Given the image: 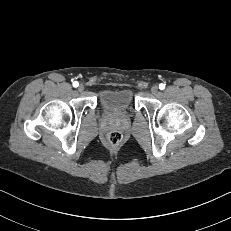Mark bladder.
Returning <instances> with one entry per match:
<instances>
[{
	"label": "bladder",
	"mask_w": 231,
	"mask_h": 231,
	"mask_svg": "<svg viewBox=\"0 0 231 231\" xmlns=\"http://www.w3.org/2000/svg\"><path fill=\"white\" fill-rule=\"evenodd\" d=\"M101 107L108 113L120 114L128 111L133 103V94L129 89H109L99 96Z\"/></svg>",
	"instance_id": "1"
}]
</instances>
